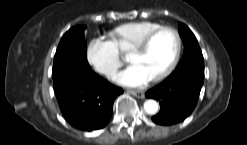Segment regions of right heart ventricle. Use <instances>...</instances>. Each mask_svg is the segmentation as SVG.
I'll return each instance as SVG.
<instances>
[{"instance_id":"obj_1","label":"right heart ventricle","mask_w":247,"mask_h":145,"mask_svg":"<svg viewBox=\"0 0 247 145\" xmlns=\"http://www.w3.org/2000/svg\"><path fill=\"white\" fill-rule=\"evenodd\" d=\"M160 26L159 23L150 21L129 22L113 28L108 35L119 51L127 52L145 35Z\"/></svg>"}]
</instances>
